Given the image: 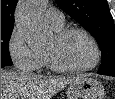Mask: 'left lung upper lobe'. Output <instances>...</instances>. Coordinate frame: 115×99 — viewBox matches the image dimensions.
Wrapping results in <instances>:
<instances>
[{
	"label": "left lung upper lobe",
	"mask_w": 115,
	"mask_h": 99,
	"mask_svg": "<svg viewBox=\"0 0 115 99\" xmlns=\"http://www.w3.org/2000/svg\"><path fill=\"white\" fill-rule=\"evenodd\" d=\"M55 1L98 42L102 53L98 73H115V26L107 0Z\"/></svg>",
	"instance_id": "obj_1"
}]
</instances>
